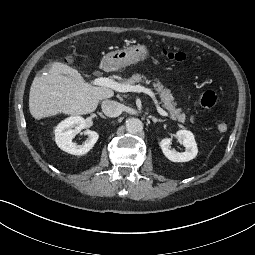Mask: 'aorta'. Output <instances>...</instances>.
I'll return each mask as SVG.
<instances>
[{"mask_svg":"<svg viewBox=\"0 0 255 255\" xmlns=\"http://www.w3.org/2000/svg\"><path fill=\"white\" fill-rule=\"evenodd\" d=\"M126 129L131 134H136L143 130V123L138 118H131L126 121Z\"/></svg>","mask_w":255,"mask_h":255,"instance_id":"obj_1","label":"aorta"}]
</instances>
